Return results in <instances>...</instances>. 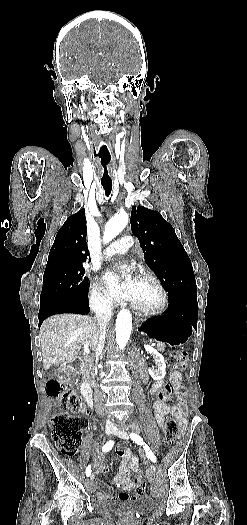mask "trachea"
Here are the masks:
<instances>
[{
    "label": "trachea",
    "instance_id": "1",
    "mask_svg": "<svg viewBox=\"0 0 247 525\" xmlns=\"http://www.w3.org/2000/svg\"><path fill=\"white\" fill-rule=\"evenodd\" d=\"M101 183L104 188L106 197H109V195L111 194V190H112V182L101 181Z\"/></svg>",
    "mask_w": 247,
    "mask_h": 525
}]
</instances>
